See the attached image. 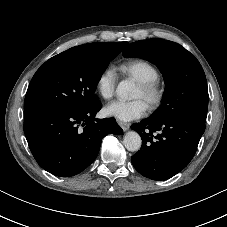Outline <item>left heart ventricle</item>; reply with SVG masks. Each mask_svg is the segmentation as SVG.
<instances>
[{
    "mask_svg": "<svg viewBox=\"0 0 227 227\" xmlns=\"http://www.w3.org/2000/svg\"><path fill=\"white\" fill-rule=\"evenodd\" d=\"M136 98H142V91H141V89L138 87L137 88V92H136V96H135Z\"/></svg>",
    "mask_w": 227,
    "mask_h": 227,
    "instance_id": "1",
    "label": "left heart ventricle"
}]
</instances>
